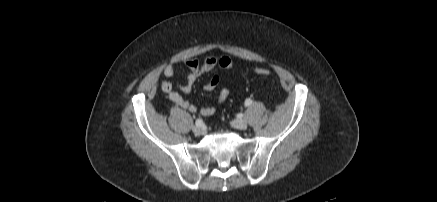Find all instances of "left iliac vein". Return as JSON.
Listing matches in <instances>:
<instances>
[{
    "label": "left iliac vein",
    "instance_id": "4c4485c4",
    "mask_svg": "<svg viewBox=\"0 0 437 202\" xmlns=\"http://www.w3.org/2000/svg\"><path fill=\"white\" fill-rule=\"evenodd\" d=\"M232 126L237 129L245 130L247 128V122L244 119H236L232 122Z\"/></svg>",
    "mask_w": 437,
    "mask_h": 202
}]
</instances>
